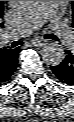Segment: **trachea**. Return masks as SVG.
I'll return each instance as SVG.
<instances>
[{
    "label": "trachea",
    "instance_id": "3493384b",
    "mask_svg": "<svg viewBox=\"0 0 74 122\" xmlns=\"http://www.w3.org/2000/svg\"><path fill=\"white\" fill-rule=\"evenodd\" d=\"M45 38H46V39H51V40L58 41V38H57L55 35H53V34H47V35L45 36ZM22 44H23V42L20 41V40H18V41H14V42L11 44V46H12V47H17V46L22 45Z\"/></svg>",
    "mask_w": 74,
    "mask_h": 122
}]
</instances>
